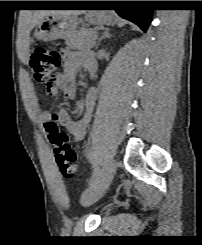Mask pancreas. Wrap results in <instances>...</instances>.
Listing matches in <instances>:
<instances>
[{"mask_svg":"<svg viewBox=\"0 0 202 245\" xmlns=\"http://www.w3.org/2000/svg\"><path fill=\"white\" fill-rule=\"evenodd\" d=\"M95 31L92 29H81L71 38L66 40V45L78 50L89 49L93 47Z\"/></svg>","mask_w":202,"mask_h":245,"instance_id":"1","label":"pancreas"}]
</instances>
